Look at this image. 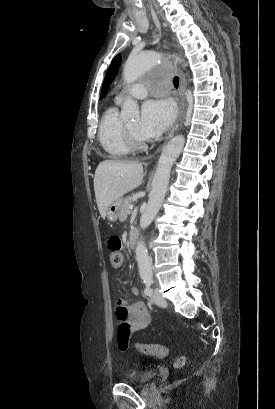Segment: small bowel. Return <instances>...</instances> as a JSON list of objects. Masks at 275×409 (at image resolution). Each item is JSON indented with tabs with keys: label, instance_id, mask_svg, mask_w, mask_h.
Wrapping results in <instances>:
<instances>
[{
	"label": "small bowel",
	"instance_id": "small-bowel-1",
	"mask_svg": "<svg viewBox=\"0 0 275 409\" xmlns=\"http://www.w3.org/2000/svg\"><path fill=\"white\" fill-rule=\"evenodd\" d=\"M138 289L131 288L130 297L136 296ZM129 298L120 299L114 306V313L118 320L121 321V333H118L117 340L121 355L129 354L130 335L134 330L144 329L150 326L152 318L147 306L143 302H136L125 305ZM129 324V325H128Z\"/></svg>",
	"mask_w": 275,
	"mask_h": 409
}]
</instances>
